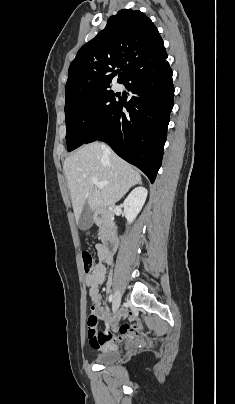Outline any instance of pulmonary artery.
Here are the masks:
<instances>
[{"instance_id": "pulmonary-artery-1", "label": "pulmonary artery", "mask_w": 235, "mask_h": 404, "mask_svg": "<svg viewBox=\"0 0 235 404\" xmlns=\"http://www.w3.org/2000/svg\"><path fill=\"white\" fill-rule=\"evenodd\" d=\"M116 89H117V90H120V89H121V85L117 84V85H116Z\"/></svg>"}]
</instances>
